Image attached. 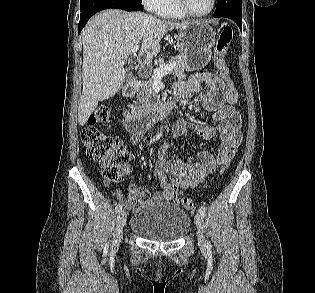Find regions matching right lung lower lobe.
I'll return each mask as SVG.
<instances>
[{"mask_svg":"<svg viewBox=\"0 0 315 293\" xmlns=\"http://www.w3.org/2000/svg\"><path fill=\"white\" fill-rule=\"evenodd\" d=\"M108 8L137 11L143 9V6L141 5V0H81V16L78 24V32H81L91 16Z\"/></svg>","mask_w":315,"mask_h":293,"instance_id":"obj_1","label":"right lung lower lobe"}]
</instances>
